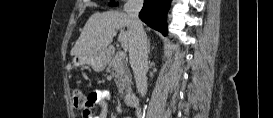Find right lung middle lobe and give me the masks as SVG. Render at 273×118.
<instances>
[{
	"mask_svg": "<svg viewBox=\"0 0 273 118\" xmlns=\"http://www.w3.org/2000/svg\"><path fill=\"white\" fill-rule=\"evenodd\" d=\"M118 5V3H116V2H114V1H112L111 3H110V6H117Z\"/></svg>",
	"mask_w": 273,
	"mask_h": 118,
	"instance_id": "right-lung-middle-lobe-1",
	"label": "right lung middle lobe"
}]
</instances>
